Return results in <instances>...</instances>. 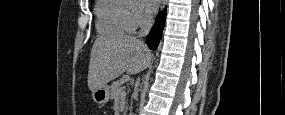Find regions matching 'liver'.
Listing matches in <instances>:
<instances>
[{
  "mask_svg": "<svg viewBox=\"0 0 285 115\" xmlns=\"http://www.w3.org/2000/svg\"><path fill=\"white\" fill-rule=\"evenodd\" d=\"M150 50L135 37H99L93 44L88 70V88L93 92L125 71L137 74L148 67Z\"/></svg>",
  "mask_w": 285,
  "mask_h": 115,
  "instance_id": "1",
  "label": "liver"
}]
</instances>
